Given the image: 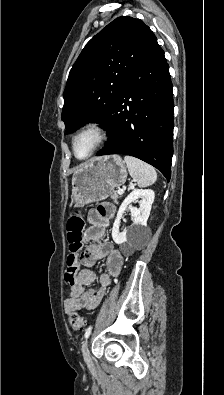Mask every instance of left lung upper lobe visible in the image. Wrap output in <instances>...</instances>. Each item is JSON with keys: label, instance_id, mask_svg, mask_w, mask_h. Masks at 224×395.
<instances>
[{"label": "left lung upper lobe", "instance_id": "1", "mask_svg": "<svg viewBox=\"0 0 224 395\" xmlns=\"http://www.w3.org/2000/svg\"><path fill=\"white\" fill-rule=\"evenodd\" d=\"M156 43L143 21L121 16L86 44L70 70L63 94L67 133L87 121L105 127L132 72Z\"/></svg>", "mask_w": 224, "mask_h": 395}]
</instances>
